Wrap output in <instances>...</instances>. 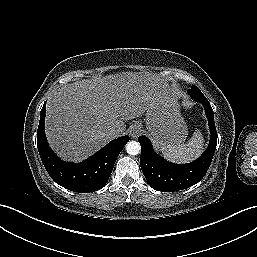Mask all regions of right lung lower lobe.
<instances>
[{"label": "right lung lower lobe", "mask_w": 257, "mask_h": 257, "mask_svg": "<svg viewBox=\"0 0 257 257\" xmlns=\"http://www.w3.org/2000/svg\"><path fill=\"white\" fill-rule=\"evenodd\" d=\"M45 111L46 102L40 114L37 147L50 177L60 186L78 193H90L102 189L109 179L119 153L129 141V136L111 141L81 163H67L60 160L47 143L44 130Z\"/></svg>", "instance_id": "98d812e1"}]
</instances>
